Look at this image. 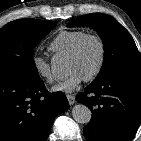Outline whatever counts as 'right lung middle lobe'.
I'll use <instances>...</instances> for the list:
<instances>
[{
	"mask_svg": "<svg viewBox=\"0 0 141 141\" xmlns=\"http://www.w3.org/2000/svg\"><path fill=\"white\" fill-rule=\"evenodd\" d=\"M53 21L18 19L0 29V78L39 77L32 51Z\"/></svg>",
	"mask_w": 141,
	"mask_h": 141,
	"instance_id": "obj_1",
	"label": "right lung middle lobe"
}]
</instances>
